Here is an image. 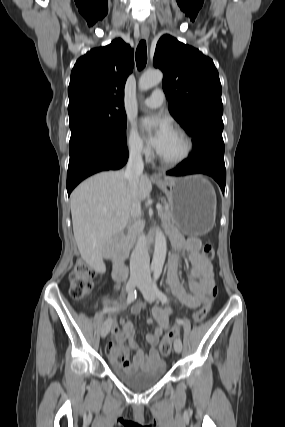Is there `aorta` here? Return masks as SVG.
Masks as SVG:
<instances>
[{"mask_svg":"<svg viewBox=\"0 0 285 427\" xmlns=\"http://www.w3.org/2000/svg\"><path fill=\"white\" fill-rule=\"evenodd\" d=\"M163 73L160 70H153L144 73L139 79L140 91H146L162 82ZM167 252L166 238L164 234L157 229L155 234L154 254L151 267L155 270H162Z\"/></svg>","mask_w":285,"mask_h":427,"instance_id":"1","label":"aorta"}]
</instances>
